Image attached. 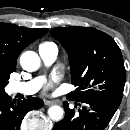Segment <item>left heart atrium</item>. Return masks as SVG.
I'll use <instances>...</instances> for the list:
<instances>
[{
  "instance_id": "left-heart-atrium-1",
  "label": "left heart atrium",
  "mask_w": 130,
  "mask_h": 130,
  "mask_svg": "<svg viewBox=\"0 0 130 130\" xmlns=\"http://www.w3.org/2000/svg\"><path fill=\"white\" fill-rule=\"evenodd\" d=\"M52 85H53V81L48 82L47 85L45 86V89L51 88Z\"/></svg>"
}]
</instances>
